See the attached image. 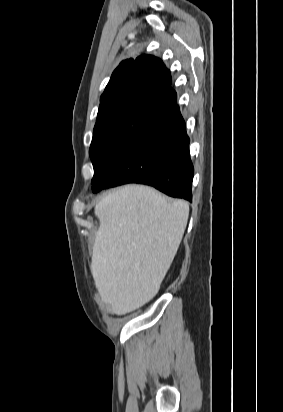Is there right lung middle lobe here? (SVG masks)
Wrapping results in <instances>:
<instances>
[{"instance_id": "obj_1", "label": "right lung middle lobe", "mask_w": 283, "mask_h": 412, "mask_svg": "<svg viewBox=\"0 0 283 412\" xmlns=\"http://www.w3.org/2000/svg\"><path fill=\"white\" fill-rule=\"evenodd\" d=\"M162 111L140 114L124 113L97 120L89 155L94 167L93 184L157 122Z\"/></svg>"}]
</instances>
